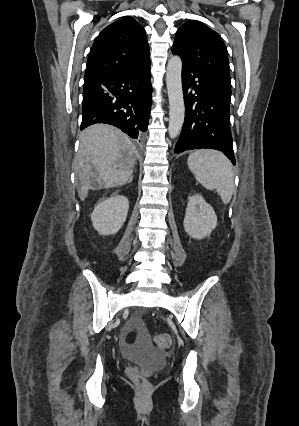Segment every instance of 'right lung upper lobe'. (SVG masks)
<instances>
[{"label": "right lung upper lobe", "instance_id": "1", "mask_svg": "<svg viewBox=\"0 0 299 426\" xmlns=\"http://www.w3.org/2000/svg\"><path fill=\"white\" fill-rule=\"evenodd\" d=\"M150 64L144 28L132 17L107 26L96 38L84 79L100 78Z\"/></svg>", "mask_w": 299, "mask_h": 426}]
</instances>
